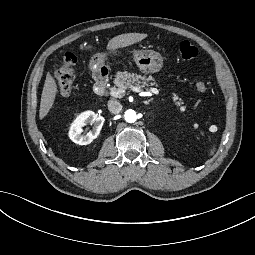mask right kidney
<instances>
[{
  "mask_svg": "<svg viewBox=\"0 0 255 255\" xmlns=\"http://www.w3.org/2000/svg\"><path fill=\"white\" fill-rule=\"evenodd\" d=\"M104 121V117L98 116L93 111H85L72 122L69 129V138L79 145L90 144L99 135ZM87 124L93 125V128L84 135L82 134L83 127Z\"/></svg>",
  "mask_w": 255,
  "mask_h": 255,
  "instance_id": "ca27d5eb",
  "label": "right kidney"
}]
</instances>
